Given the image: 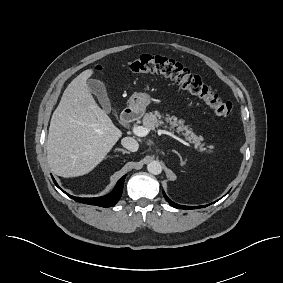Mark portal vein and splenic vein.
<instances>
[{"instance_id": "18ae733b", "label": "portal vein and splenic vein", "mask_w": 283, "mask_h": 283, "mask_svg": "<svg viewBox=\"0 0 283 283\" xmlns=\"http://www.w3.org/2000/svg\"><path fill=\"white\" fill-rule=\"evenodd\" d=\"M133 133L137 136H140V137H144V136H147L149 134V131L150 129H148L147 127H143V126H134L133 127ZM158 134H166V135H169L173 138H175L176 140L180 141L181 143H183L184 145L186 146H190L189 143L181 140L180 138L176 137L174 134H172L171 132H168L166 130H158Z\"/></svg>"}]
</instances>
